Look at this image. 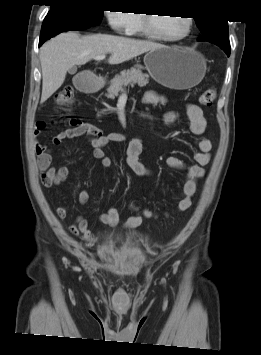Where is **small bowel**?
<instances>
[{
	"label": "small bowel",
	"instance_id": "c3829d8e",
	"mask_svg": "<svg viewBox=\"0 0 261 355\" xmlns=\"http://www.w3.org/2000/svg\"><path fill=\"white\" fill-rule=\"evenodd\" d=\"M146 103L163 104L167 99L155 91H148L144 98ZM186 114L189 120V129L192 135L196 137L194 141L195 151L192 153L193 164H185L175 156L166 157V163L176 169H181L185 173V179L181 185V190L177 196L178 203L176 209L172 212H182L187 210L192 204V198L197 188V181L204 175V166L210 162L211 143L202 135L207 130V121L202 109L193 103L186 105ZM179 118V113L175 111L167 112L163 121L170 125ZM43 123V126H38ZM68 128L58 133L52 138L51 145L59 146L65 139H73L81 136L87 137L92 146V156L101 161L102 167L107 169L111 166L112 160L104 152V148L111 143H120L126 140V137L120 133L103 134L96 126L84 122L80 119L73 118L68 122ZM46 128L45 122H38L33 131L35 140V152L37 155L38 167L41 171V181L47 188H57L64 182L68 175L69 169L66 166H52V149L38 142L37 138ZM143 150L142 140L134 137L128 141L126 148V162L129 168L138 176L147 177L152 171L140 161V155ZM81 204H87L90 194L83 189L78 196ZM130 208L135 211V215L130 216L123 224V228L133 229L139 227L144 219H157L161 215L149 209H141L135 204H131ZM59 219L65 220L69 209L67 206H59L55 210ZM170 213H164L168 216ZM99 221L102 224L115 227L119 224V213L115 207H110L107 211L99 215ZM69 231L73 235H79L82 239L89 243H94L97 236L90 231L89 221L84 215H78L74 222L69 226Z\"/></svg>",
	"mask_w": 261,
	"mask_h": 355
}]
</instances>
